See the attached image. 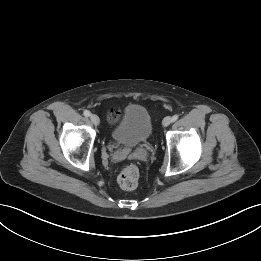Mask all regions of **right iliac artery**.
<instances>
[{
    "label": "right iliac artery",
    "instance_id": "obj_1",
    "mask_svg": "<svg viewBox=\"0 0 261 261\" xmlns=\"http://www.w3.org/2000/svg\"><path fill=\"white\" fill-rule=\"evenodd\" d=\"M86 117H89L91 115L90 111L88 110H85L84 113H83Z\"/></svg>",
    "mask_w": 261,
    "mask_h": 261
}]
</instances>
